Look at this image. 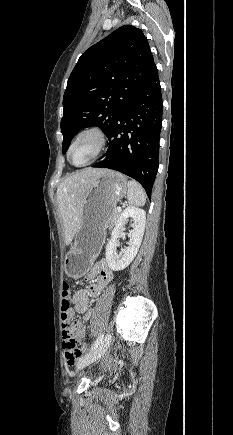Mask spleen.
<instances>
[{"instance_id": "spleen-1", "label": "spleen", "mask_w": 233, "mask_h": 435, "mask_svg": "<svg viewBox=\"0 0 233 435\" xmlns=\"http://www.w3.org/2000/svg\"><path fill=\"white\" fill-rule=\"evenodd\" d=\"M127 199L129 204L134 206H143L146 202L145 191L135 180L128 182Z\"/></svg>"}]
</instances>
